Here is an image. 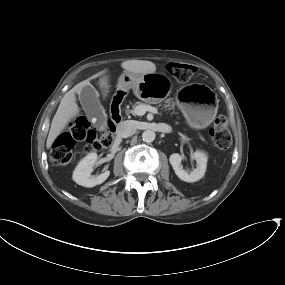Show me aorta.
I'll list each match as a JSON object with an SVG mask.
<instances>
[{
  "mask_svg": "<svg viewBox=\"0 0 285 285\" xmlns=\"http://www.w3.org/2000/svg\"><path fill=\"white\" fill-rule=\"evenodd\" d=\"M155 138H156V134L152 130H145L142 133V139L144 142L151 143L155 140Z\"/></svg>",
  "mask_w": 285,
  "mask_h": 285,
  "instance_id": "762f6f07",
  "label": "aorta"
}]
</instances>
